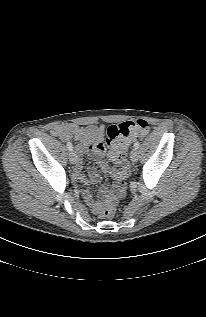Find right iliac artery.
I'll return each instance as SVG.
<instances>
[{"label": "right iliac artery", "instance_id": "right-iliac-artery-1", "mask_svg": "<svg viewBox=\"0 0 206 317\" xmlns=\"http://www.w3.org/2000/svg\"><path fill=\"white\" fill-rule=\"evenodd\" d=\"M67 148H68L69 151H72L73 150L72 143L67 142Z\"/></svg>", "mask_w": 206, "mask_h": 317}]
</instances>
